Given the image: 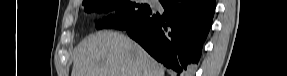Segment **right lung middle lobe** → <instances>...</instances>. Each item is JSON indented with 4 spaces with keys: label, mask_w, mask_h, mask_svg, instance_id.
Here are the masks:
<instances>
[{
    "label": "right lung middle lobe",
    "mask_w": 287,
    "mask_h": 76,
    "mask_svg": "<svg viewBox=\"0 0 287 76\" xmlns=\"http://www.w3.org/2000/svg\"><path fill=\"white\" fill-rule=\"evenodd\" d=\"M83 5L86 12H108L113 9L119 11L115 16L99 21L96 24L97 29L125 30L150 11L149 5L130 0H88Z\"/></svg>",
    "instance_id": "dd1d6c3e"
}]
</instances>
